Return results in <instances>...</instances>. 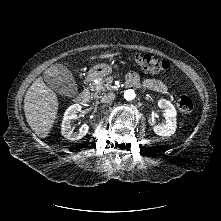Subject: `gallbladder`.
I'll return each instance as SVG.
<instances>
[{
  "mask_svg": "<svg viewBox=\"0 0 221 221\" xmlns=\"http://www.w3.org/2000/svg\"><path fill=\"white\" fill-rule=\"evenodd\" d=\"M50 72V71H49ZM49 86L63 94L70 95L72 88V78L70 73L60 65H55L48 77H46Z\"/></svg>",
  "mask_w": 221,
  "mask_h": 221,
  "instance_id": "gallbladder-1",
  "label": "gallbladder"
}]
</instances>
